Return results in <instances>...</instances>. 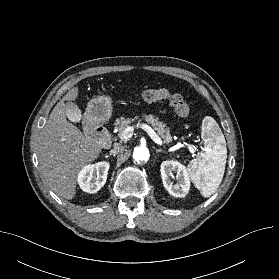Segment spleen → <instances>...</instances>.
I'll list each match as a JSON object with an SVG mask.
<instances>
[{"instance_id": "obj_1", "label": "spleen", "mask_w": 279, "mask_h": 279, "mask_svg": "<svg viewBox=\"0 0 279 279\" xmlns=\"http://www.w3.org/2000/svg\"><path fill=\"white\" fill-rule=\"evenodd\" d=\"M201 136L204 147L188 164V172L195 187L203 197H210L222 182L227 159L225 137L210 116L202 121Z\"/></svg>"}]
</instances>
